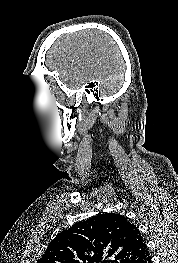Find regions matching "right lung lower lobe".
Here are the masks:
<instances>
[{
    "instance_id": "right-lung-lower-lobe-1",
    "label": "right lung lower lobe",
    "mask_w": 178,
    "mask_h": 263,
    "mask_svg": "<svg viewBox=\"0 0 178 263\" xmlns=\"http://www.w3.org/2000/svg\"><path fill=\"white\" fill-rule=\"evenodd\" d=\"M142 263H152L150 254L142 261Z\"/></svg>"
}]
</instances>
